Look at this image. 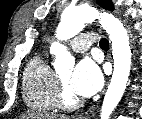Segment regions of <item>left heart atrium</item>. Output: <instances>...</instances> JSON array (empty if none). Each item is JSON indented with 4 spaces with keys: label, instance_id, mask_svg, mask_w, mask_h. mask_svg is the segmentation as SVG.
Segmentation results:
<instances>
[{
    "label": "left heart atrium",
    "instance_id": "39dd6f15",
    "mask_svg": "<svg viewBox=\"0 0 142 119\" xmlns=\"http://www.w3.org/2000/svg\"><path fill=\"white\" fill-rule=\"evenodd\" d=\"M103 77L98 66L90 60H82L69 80L70 90L81 97L95 94L102 86Z\"/></svg>",
    "mask_w": 142,
    "mask_h": 119
}]
</instances>
